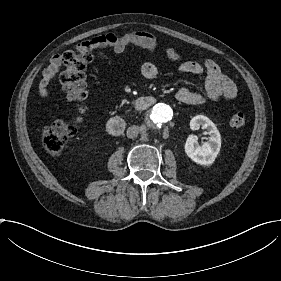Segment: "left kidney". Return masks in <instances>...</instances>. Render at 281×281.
Listing matches in <instances>:
<instances>
[{
  "label": "left kidney",
  "mask_w": 281,
  "mask_h": 281,
  "mask_svg": "<svg viewBox=\"0 0 281 281\" xmlns=\"http://www.w3.org/2000/svg\"><path fill=\"white\" fill-rule=\"evenodd\" d=\"M190 125L195 130H198L200 127L207 130L209 141L199 144L195 138L189 137L184 145L186 155L198 165H212L221 147L219 131L213 122L202 115L192 118Z\"/></svg>",
  "instance_id": "1"
}]
</instances>
